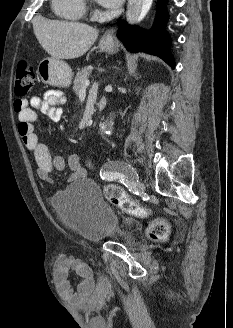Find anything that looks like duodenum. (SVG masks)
<instances>
[{"mask_svg":"<svg viewBox=\"0 0 233 328\" xmlns=\"http://www.w3.org/2000/svg\"><path fill=\"white\" fill-rule=\"evenodd\" d=\"M106 105H107V99L105 97L99 98V100L97 101V108L99 110H103L105 109Z\"/></svg>","mask_w":233,"mask_h":328,"instance_id":"duodenum-1","label":"duodenum"}]
</instances>
